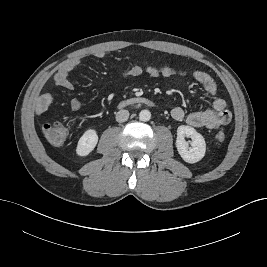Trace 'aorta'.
<instances>
[{"instance_id":"762f6f07","label":"aorta","mask_w":267,"mask_h":267,"mask_svg":"<svg viewBox=\"0 0 267 267\" xmlns=\"http://www.w3.org/2000/svg\"><path fill=\"white\" fill-rule=\"evenodd\" d=\"M151 118V113L149 110H142L140 113H139V119L141 121H149Z\"/></svg>"}]
</instances>
